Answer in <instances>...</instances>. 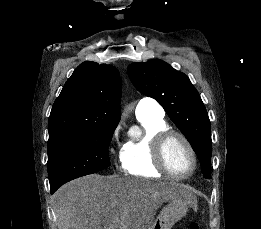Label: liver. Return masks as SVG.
<instances>
[{
    "label": "liver",
    "mask_w": 261,
    "mask_h": 229,
    "mask_svg": "<svg viewBox=\"0 0 261 229\" xmlns=\"http://www.w3.org/2000/svg\"><path fill=\"white\" fill-rule=\"evenodd\" d=\"M193 199L189 187L119 175H87L55 195L58 229H149L156 209L173 199Z\"/></svg>",
    "instance_id": "obj_1"
}]
</instances>
